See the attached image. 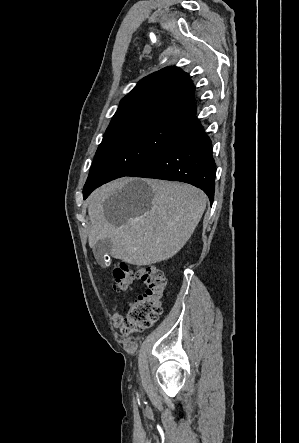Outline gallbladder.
Segmentation results:
<instances>
[{
	"mask_svg": "<svg viewBox=\"0 0 299 443\" xmlns=\"http://www.w3.org/2000/svg\"><path fill=\"white\" fill-rule=\"evenodd\" d=\"M113 244L109 239L99 240L93 247V254L101 266H105V259L111 254Z\"/></svg>",
	"mask_w": 299,
	"mask_h": 443,
	"instance_id": "gallbladder-1",
	"label": "gallbladder"
}]
</instances>
